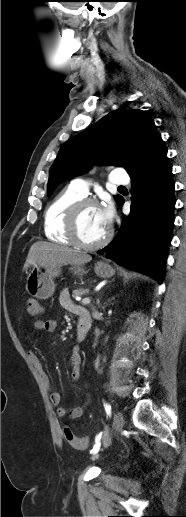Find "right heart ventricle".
I'll return each mask as SVG.
<instances>
[{
    "label": "right heart ventricle",
    "instance_id": "1",
    "mask_svg": "<svg viewBox=\"0 0 186 517\" xmlns=\"http://www.w3.org/2000/svg\"><path fill=\"white\" fill-rule=\"evenodd\" d=\"M71 186L62 189L48 204L44 213V233L50 241L61 244H72L67 232V214L70 207L83 198Z\"/></svg>",
    "mask_w": 186,
    "mask_h": 517
}]
</instances>
